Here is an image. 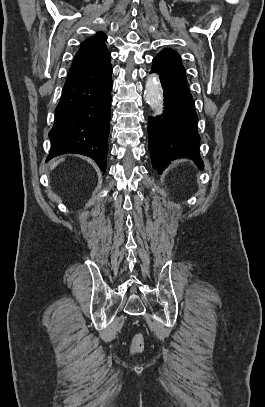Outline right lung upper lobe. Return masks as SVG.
<instances>
[{"mask_svg": "<svg viewBox=\"0 0 265 407\" xmlns=\"http://www.w3.org/2000/svg\"><path fill=\"white\" fill-rule=\"evenodd\" d=\"M106 39L107 37L103 32H97L93 37H89L82 42L80 45V50L74 57L73 65L70 68V71L77 64L94 61L107 54L108 49L105 45Z\"/></svg>", "mask_w": 265, "mask_h": 407, "instance_id": "right-lung-upper-lobe-1", "label": "right lung upper lobe"}]
</instances>
